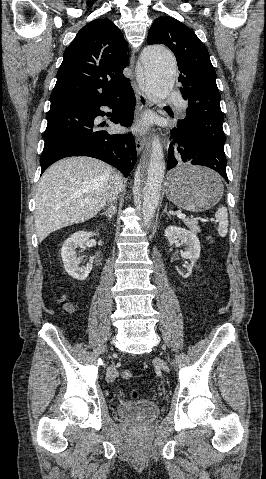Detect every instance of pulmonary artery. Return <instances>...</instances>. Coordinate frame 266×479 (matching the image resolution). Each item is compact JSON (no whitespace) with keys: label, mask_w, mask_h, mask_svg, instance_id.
I'll list each match as a JSON object with an SVG mask.
<instances>
[{"label":"pulmonary artery","mask_w":266,"mask_h":479,"mask_svg":"<svg viewBox=\"0 0 266 479\" xmlns=\"http://www.w3.org/2000/svg\"><path fill=\"white\" fill-rule=\"evenodd\" d=\"M178 96H179L178 93L176 91L172 90L166 95V100L170 101V100L178 98ZM185 108H186L185 103L181 102L180 103V114L181 115H184Z\"/></svg>","instance_id":"pulmonary-artery-1"}]
</instances>
